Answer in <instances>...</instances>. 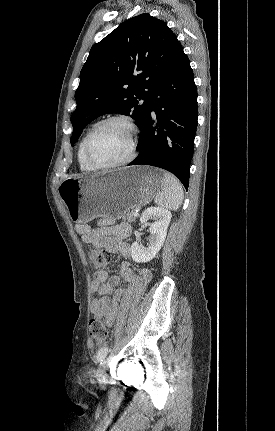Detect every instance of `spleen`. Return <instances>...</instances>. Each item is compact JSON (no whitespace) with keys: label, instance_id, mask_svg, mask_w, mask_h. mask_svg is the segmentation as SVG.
I'll use <instances>...</instances> for the list:
<instances>
[{"label":"spleen","instance_id":"1","mask_svg":"<svg viewBox=\"0 0 275 431\" xmlns=\"http://www.w3.org/2000/svg\"><path fill=\"white\" fill-rule=\"evenodd\" d=\"M184 193L180 182L170 173L163 175V188L155 196V203L176 211L183 202Z\"/></svg>","mask_w":275,"mask_h":431}]
</instances>
